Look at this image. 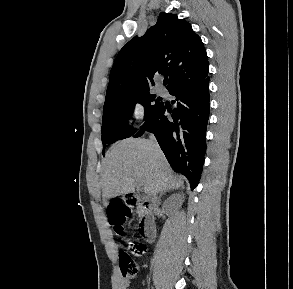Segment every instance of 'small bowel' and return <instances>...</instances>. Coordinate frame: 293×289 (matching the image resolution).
Segmentation results:
<instances>
[{"mask_svg":"<svg viewBox=\"0 0 293 289\" xmlns=\"http://www.w3.org/2000/svg\"><path fill=\"white\" fill-rule=\"evenodd\" d=\"M128 285V282H124V288H126Z\"/></svg>","mask_w":293,"mask_h":289,"instance_id":"c3829d8e","label":"small bowel"}]
</instances>
